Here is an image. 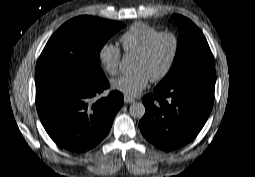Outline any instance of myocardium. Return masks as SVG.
I'll return each mask as SVG.
<instances>
[{"label":"myocardium","instance_id":"f54148a6","mask_svg":"<svg viewBox=\"0 0 255 177\" xmlns=\"http://www.w3.org/2000/svg\"><path fill=\"white\" fill-rule=\"evenodd\" d=\"M163 37H169L173 42L172 52L171 55L167 61L166 66L162 70L161 73H159L157 76L149 78L151 82H159L163 80L171 71L174 62L177 58V55L179 53V39L178 37L169 31L159 32L155 36H153L144 46V48L136 55L138 58H147L153 49L154 45L157 43V41Z\"/></svg>","mask_w":255,"mask_h":177}]
</instances>
